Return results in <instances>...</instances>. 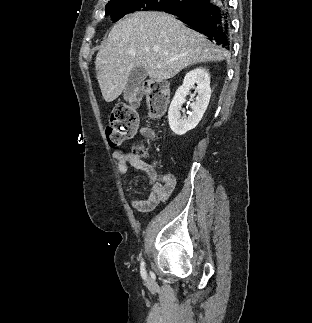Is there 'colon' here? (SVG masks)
I'll return each mask as SVG.
<instances>
[{
	"mask_svg": "<svg viewBox=\"0 0 312 323\" xmlns=\"http://www.w3.org/2000/svg\"><path fill=\"white\" fill-rule=\"evenodd\" d=\"M146 88L150 92L149 101L151 104L150 113L152 117H158L164 110L168 89L163 80H152L146 82ZM138 97L135 96L127 102L118 103L113 107L109 116V125L106 128V141L110 147L121 146L125 141L131 139L138 129L139 114L137 111ZM143 134L151 137V131L145 129ZM133 153L140 159L147 156V148L139 145L134 148Z\"/></svg>",
	"mask_w": 312,
	"mask_h": 323,
	"instance_id": "colon-1",
	"label": "colon"
}]
</instances>
